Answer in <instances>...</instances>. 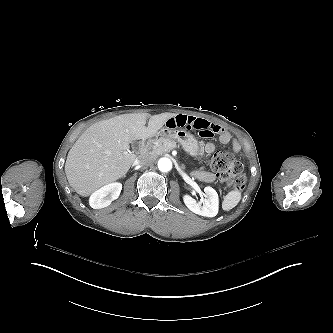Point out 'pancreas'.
Wrapping results in <instances>:
<instances>
[{
    "label": "pancreas",
    "mask_w": 333,
    "mask_h": 333,
    "mask_svg": "<svg viewBox=\"0 0 333 333\" xmlns=\"http://www.w3.org/2000/svg\"><path fill=\"white\" fill-rule=\"evenodd\" d=\"M176 145V141L170 137H160L156 140L154 145L151 146L149 155L158 156L167 151L172 150Z\"/></svg>",
    "instance_id": "cf45deb5"
}]
</instances>
